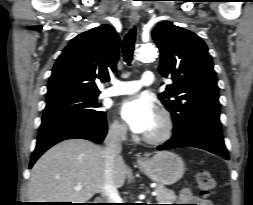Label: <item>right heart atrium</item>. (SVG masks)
Wrapping results in <instances>:
<instances>
[{"instance_id": "d8ad5b80", "label": "right heart atrium", "mask_w": 253, "mask_h": 205, "mask_svg": "<svg viewBox=\"0 0 253 205\" xmlns=\"http://www.w3.org/2000/svg\"><path fill=\"white\" fill-rule=\"evenodd\" d=\"M110 133L117 138H123L126 135V127L118 120H113L110 125Z\"/></svg>"}]
</instances>
